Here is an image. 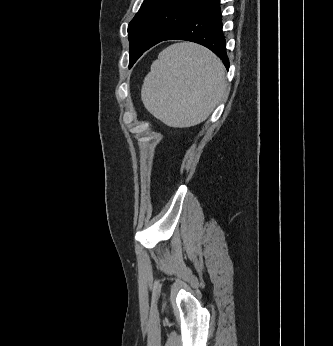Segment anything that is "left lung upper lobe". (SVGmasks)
<instances>
[{
	"instance_id": "left-lung-upper-lobe-1",
	"label": "left lung upper lobe",
	"mask_w": 333,
	"mask_h": 346,
	"mask_svg": "<svg viewBox=\"0 0 333 346\" xmlns=\"http://www.w3.org/2000/svg\"><path fill=\"white\" fill-rule=\"evenodd\" d=\"M208 0H144L128 25L131 67Z\"/></svg>"
}]
</instances>
